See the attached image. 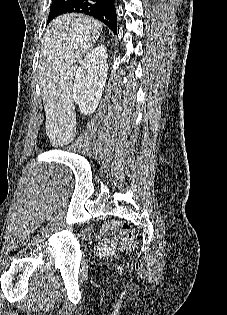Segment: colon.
Here are the masks:
<instances>
[{
	"instance_id": "1",
	"label": "colon",
	"mask_w": 227,
	"mask_h": 315,
	"mask_svg": "<svg viewBox=\"0 0 227 315\" xmlns=\"http://www.w3.org/2000/svg\"><path fill=\"white\" fill-rule=\"evenodd\" d=\"M121 239L127 247H133L135 241V233L132 225L124 221L121 223Z\"/></svg>"
}]
</instances>
